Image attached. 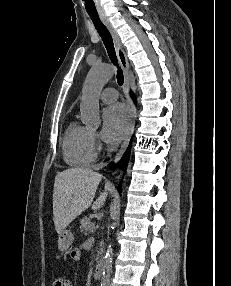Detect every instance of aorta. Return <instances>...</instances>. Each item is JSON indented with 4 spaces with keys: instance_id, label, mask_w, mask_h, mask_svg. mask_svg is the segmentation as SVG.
<instances>
[{
    "instance_id": "aorta-1",
    "label": "aorta",
    "mask_w": 231,
    "mask_h": 286,
    "mask_svg": "<svg viewBox=\"0 0 231 286\" xmlns=\"http://www.w3.org/2000/svg\"><path fill=\"white\" fill-rule=\"evenodd\" d=\"M113 68L109 65L93 66L83 85L80 104L81 121L90 128L100 125L99 93L104 85L113 76ZM113 261V248L108 245L102 266L101 286H108Z\"/></svg>"
}]
</instances>
